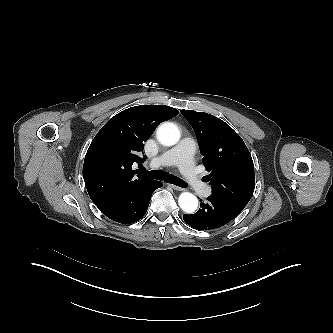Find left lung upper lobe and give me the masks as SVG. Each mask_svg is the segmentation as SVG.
I'll return each mask as SVG.
<instances>
[{
    "label": "left lung upper lobe",
    "instance_id": "left-lung-upper-lobe-1",
    "mask_svg": "<svg viewBox=\"0 0 333 333\" xmlns=\"http://www.w3.org/2000/svg\"><path fill=\"white\" fill-rule=\"evenodd\" d=\"M193 127L202 162L210 172L213 196L241 212L255 189L254 165L242 138L223 120L193 110H181Z\"/></svg>",
    "mask_w": 333,
    "mask_h": 333
}]
</instances>
